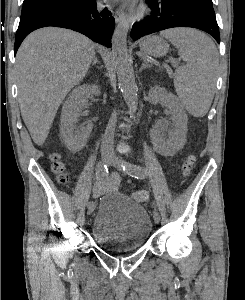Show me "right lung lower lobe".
Instances as JSON below:
<instances>
[{
	"instance_id": "obj_1",
	"label": "right lung lower lobe",
	"mask_w": 245,
	"mask_h": 300,
	"mask_svg": "<svg viewBox=\"0 0 245 300\" xmlns=\"http://www.w3.org/2000/svg\"><path fill=\"white\" fill-rule=\"evenodd\" d=\"M47 26L72 29L97 43L111 47L115 20L107 8L97 9L96 0H89L81 7L63 8L20 21L15 38V54L30 32Z\"/></svg>"
}]
</instances>
